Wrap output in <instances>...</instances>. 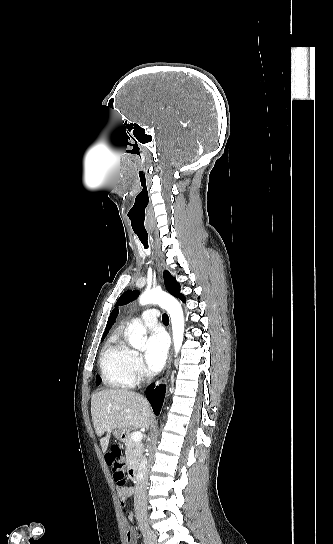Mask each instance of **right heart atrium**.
Here are the masks:
<instances>
[{"mask_svg":"<svg viewBox=\"0 0 333 544\" xmlns=\"http://www.w3.org/2000/svg\"><path fill=\"white\" fill-rule=\"evenodd\" d=\"M129 369L134 382L140 381L147 374L141 356L133 350L130 351Z\"/></svg>","mask_w":333,"mask_h":544,"instance_id":"right-heart-atrium-1","label":"right heart atrium"}]
</instances>
